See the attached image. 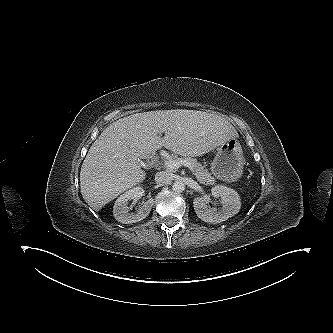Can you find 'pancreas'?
<instances>
[{"label":"pancreas","mask_w":333,"mask_h":333,"mask_svg":"<svg viewBox=\"0 0 333 333\" xmlns=\"http://www.w3.org/2000/svg\"><path fill=\"white\" fill-rule=\"evenodd\" d=\"M179 160V159H176ZM191 164L194 169V175L196 176L199 183L204 185L215 184V179L210 175L207 169H205L196 159L187 157L183 159Z\"/></svg>","instance_id":"1"}]
</instances>
